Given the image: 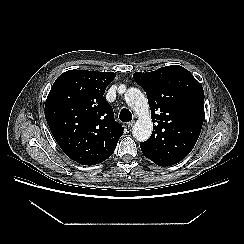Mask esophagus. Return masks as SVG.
I'll return each mask as SVG.
<instances>
[{
    "instance_id": "obj_1",
    "label": "esophagus",
    "mask_w": 244,
    "mask_h": 244,
    "mask_svg": "<svg viewBox=\"0 0 244 244\" xmlns=\"http://www.w3.org/2000/svg\"><path fill=\"white\" fill-rule=\"evenodd\" d=\"M134 121H130V122H128L127 124H126V126L128 127V128H131L133 125H134Z\"/></svg>"
}]
</instances>
